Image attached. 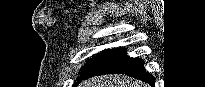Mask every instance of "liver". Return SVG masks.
Segmentation results:
<instances>
[{"mask_svg":"<svg viewBox=\"0 0 205 87\" xmlns=\"http://www.w3.org/2000/svg\"><path fill=\"white\" fill-rule=\"evenodd\" d=\"M80 87H149L147 84L125 75L95 76L84 81Z\"/></svg>","mask_w":205,"mask_h":87,"instance_id":"1","label":"liver"}]
</instances>
